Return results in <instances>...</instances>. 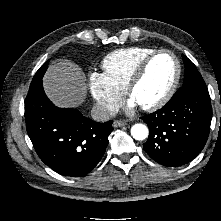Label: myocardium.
Segmentation results:
<instances>
[{"instance_id": "f54148a6", "label": "myocardium", "mask_w": 221, "mask_h": 221, "mask_svg": "<svg viewBox=\"0 0 221 221\" xmlns=\"http://www.w3.org/2000/svg\"><path fill=\"white\" fill-rule=\"evenodd\" d=\"M163 53L169 54L173 58V60L175 62V67H176L175 75H174V78H173L172 83L170 84L169 88L159 99H157L154 102L148 103V104L139 105L143 110H146V111H153V110H157V109L163 107L174 95V93L178 87V84H179V81L181 78V72H182L181 63H180V60L177 57V55L169 49L155 50L154 52L149 54L147 57H145L141 61V63L137 67L136 71L134 72V74H133V76H132V78L126 88L127 95L130 98H132V95H133L136 87L143 80L150 63L158 55L163 54Z\"/></svg>"}]
</instances>
